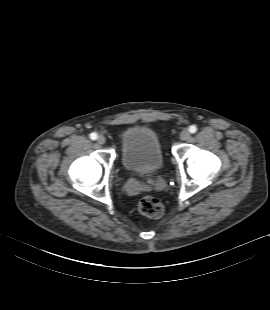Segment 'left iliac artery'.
<instances>
[{
	"label": "left iliac artery",
	"mask_w": 270,
	"mask_h": 310,
	"mask_svg": "<svg viewBox=\"0 0 270 310\" xmlns=\"http://www.w3.org/2000/svg\"><path fill=\"white\" fill-rule=\"evenodd\" d=\"M189 131H190V133H195L197 131V127L195 125H191L189 127Z\"/></svg>",
	"instance_id": "1"
}]
</instances>
